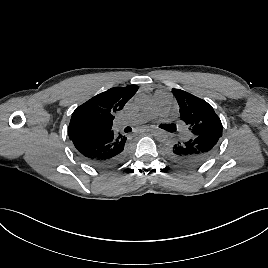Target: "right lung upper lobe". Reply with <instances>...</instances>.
<instances>
[{"instance_id":"cb5924a9","label":"right lung upper lobe","mask_w":268,"mask_h":268,"mask_svg":"<svg viewBox=\"0 0 268 268\" xmlns=\"http://www.w3.org/2000/svg\"><path fill=\"white\" fill-rule=\"evenodd\" d=\"M137 90V85L113 87L77 107L70 120L69 138L110 133L114 113L120 111Z\"/></svg>"}]
</instances>
